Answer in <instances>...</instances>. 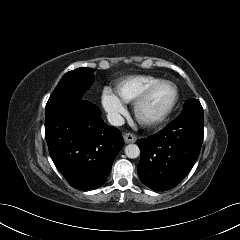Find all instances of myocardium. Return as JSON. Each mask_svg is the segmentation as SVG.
Returning a JSON list of instances; mask_svg holds the SVG:
<instances>
[{"instance_id":"1","label":"myocardium","mask_w":240,"mask_h":240,"mask_svg":"<svg viewBox=\"0 0 240 240\" xmlns=\"http://www.w3.org/2000/svg\"><path fill=\"white\" fill-rule=\"evenodd\" d=\"M172 86L175 89V97L169 108L163 112L162 114L156 116V117H146L142 114V107L143 105L149 100V98L152 96V94L159 89L162 86ZM180 99V92L178 86L168 80H162L158 83L153 84L149 88H147L134 102L133 105V112L136 117V119L143 125L154 127L161 123H163L175 110L178 102Z\"/></svg>"}]
</instances>
